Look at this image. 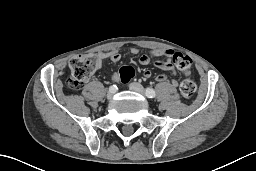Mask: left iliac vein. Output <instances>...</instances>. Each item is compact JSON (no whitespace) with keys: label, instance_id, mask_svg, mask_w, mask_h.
<instances>
[{"label":"left iliac vein","instance_id":"left-iliac-vein-1","mask_svg":"<svg viewBox=\"0 0 256 171\" xmlns=\"http://www.w3.org/2000/svg\"><path fill=\"white\" fill-rule=\"evenodd\" d=\"M129 88H130V90L138 92L141 95L145 94V89L139 83L132 82V83L129 84Z\"/></svg>","mask_w":256,"mask_h":171}]
</instances>
